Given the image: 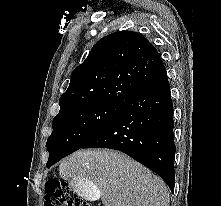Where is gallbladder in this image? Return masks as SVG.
<instances>
[{
	"label": "gallbladder",
	"instance_id": "1",
	"mask_svg": "<svg viewBox=\"0 0 221 206\" xmlns=\"http://www.w3.org/2000/svg\"><path fill=\"white\" fill-rule=\"evenodd\" d=\"M75 194L78 198H85L86 202H97L100 197L97 185H93V181H70Z\"/></svg>",
	"mask_w": 221,
	"mask_h": 206
}]
</instances>
